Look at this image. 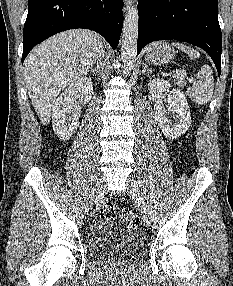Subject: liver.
I'll return each mask as SVG.
<instances>
[{"mask_svg": "<svg viewBox=\"0 0 233 286\" xmlns=\"http://www.w3.org/2000/svg\"><path fill=\"white\" fill-rule=\"evenodd\" d=\"M101 37L85 29L59 33L37 45L24 62V78L32 105L44 125L56 97L85 75L97 58Z\"/></svg>", "mask_w": 233, "mask_h": 286, "instance_id": "1", "label": "liver"}]
</instances>
